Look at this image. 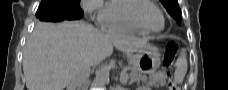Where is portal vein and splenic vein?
<instances>
[{
  "label": "portal vein and splenic vein",
  "mask_w": 228,
  "mask_h": 90,
  "mask_svg": "<svg viewBox=\"0 0 228 90\" xmlns=\"http://www.w3.org/2000/svg\"><path fill=\"white\" fill-rule=\"evenodd\" d=\"M126 79H127V77H125L124 79H122V81H123V80H126Z\"/></svg>",
  "instance_id": "18ae733b"
}]
</instances>
